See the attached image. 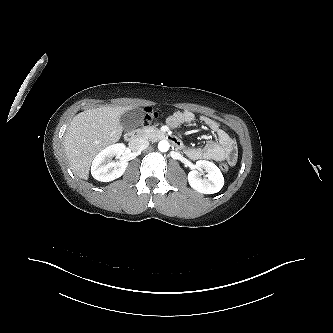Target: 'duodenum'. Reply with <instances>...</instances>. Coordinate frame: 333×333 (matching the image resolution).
I'll return each mask as SVG.
<instances>
[{"instance_id": "duodenum-1", "label": "duodenum", "mask_w": 333, "mask_h": 333, "mask_svg": "<svg viewBox=\"0 0 333 333\" xmlns=\"http://www.w3.org/2000/svg\"><path fill=\"white\" fill-rule=\"evenodd\" d=\"M158 136L162 140L168 141L175 148H181L182 147V143H181L180 139H178L176 136H174L172 134L160 131V132H158ZM125 140L127 141L128 145L131 148L137 149L139 147V143H140V140H141V132H139V131H130V132L126 133Z\"/></svg>"}]
</instances>
